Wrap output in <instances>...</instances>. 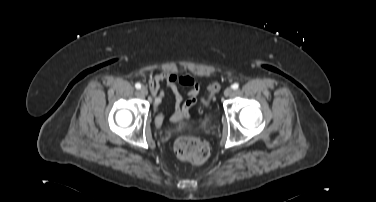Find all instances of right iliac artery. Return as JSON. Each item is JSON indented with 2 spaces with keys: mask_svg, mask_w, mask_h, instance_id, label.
I'll return each mask as SVG.
<instances>
[{
  "mask_svg": "<svg viewBox=\"0 0 376 202\" xmlns=\"http://www.w3.org/2000/svg\"><path fill=\"white\" fill-rule=\"evenodd\" d=\"M135 87H136V89H140L141 88V84L140 83H136Z\"/></svg>",
  "mask_w": 376,
  "mask_h": 202,
  "instance_id": "right-iliac-artery-1",
  "label": "right iliac artery"
}]
</instances>
